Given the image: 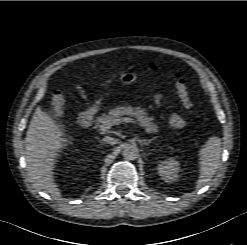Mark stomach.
Masks as SVG:
<instances>
[{"mask_svg": "<svg viewBox=\"0 0 247 245\" xmlns=\"http://www.w3.org/2000/svg\"><path fill=\"white\" fill-rule=\"evenodd\" d=\"M120 82L123 86H128L134 83L137 79V74L135 72H124L120 74ZM103 96L99 97L95 101V106H100L102 104Z\"/></svg>", "mask_w": 247, "mask_h": 245, "instance_id": "stomach-1", "label": "stomach"}]
</instances>
